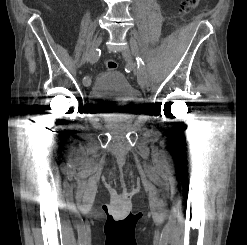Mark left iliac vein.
I'll use <instances>...</instances> for the list:
<instances>
[{"label":"left iliac vein","instance_id":"1","mask_svg":"<svg viewBox=\"0 0 247 245\" xmlns=\"http://www.w3.org/2000/svg\"><path fill=\"white\" fill-rule=\"evenodd\" d=\"M131 48H132V45H131ZM122 55L127 60L129 65L132 67V69L134 70L135 74L137 75L138 82H139L140 86L144 87V88H147L149 86V83H150L149 78H148L146 73L144 74V76H140L139 75L138 69H136L135 63L133 62L131 50H129L126 47L123 48L122 49Z\"/></svg>","mask_w":247,"mask_h":245}]
</instances>
